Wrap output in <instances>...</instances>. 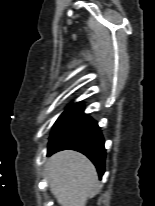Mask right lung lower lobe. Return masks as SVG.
I'll return each mask as SVG.
<instances>
[{"label":"right lung lower lobe","mask_w":155,"mask_h":206,"mask_svg":"<svg viewBox=\"0 0 155 206\" xmlns=\"http://www.w3.org/2000/svg\"><path fill=\"white\" fill-rule=\"evenodd\" d=\"M66 149L76 150L86 155L102 177L106 153L104 139L96 121L85 115L52 134L48 144V155Z\"/></svg>","instance_id":"right-lung-lower-lobe-1"}]
</instances>
